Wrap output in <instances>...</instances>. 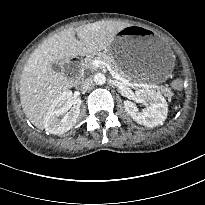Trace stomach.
Wrapping results in <instances>:
<instances>
[{
  "label": "stomach",
  "mask_w": 205,
  "mask_h": 205,
  "mask_svg": "<svg viewBox=\"0 0 205 205\" xmlns=\"http://www.w3.org/2000/svg\"><path fill=\"white\" fill-rule=\"evenodd\" d=\"M106 52L137 82H163L174 66V55L165 40L140 25H128L118 31Z\"/></svg>",
  "instance_id": "1"
}]
</instances>
